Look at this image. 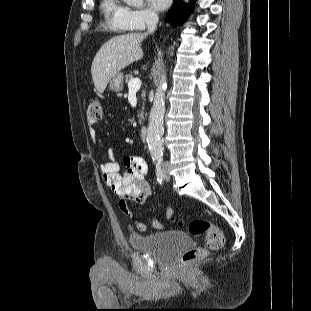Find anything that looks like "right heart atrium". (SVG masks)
<instances>
[{
	"mask_svg": "<svg viewBox=\"0 0 311 311\" xmlns=\"http://www.w3.org/2000/svg\"><path fill=\"white\" fill-rule=\"evenodd\" d=\"M157 20V14L154 10L147 7H138L128 9L126 22L131 30L140 31Z\"/></svg>",
	"mask_w": 311,
	"mask_h": 311,
	"instance_id": "d8ad5b80",
	"label": "right heart atrium"
}]
</instances>
